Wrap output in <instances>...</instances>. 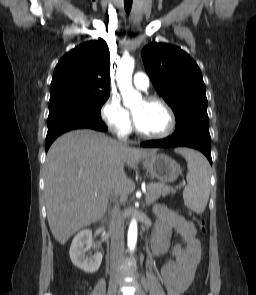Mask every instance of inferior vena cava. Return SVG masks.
Segmentation results:
<instances>
[{"label":"inferior vena cava","instance_id":"obj_1","mask_svg":"<svg viewBox=\"0 0 256 295\" xmlns=\"http://www.w3.org/2000/svg\"><path fill=\"white\" fill-rule=\"evenodd\" d=\"M122 195L121 189L114 186L111 191V201L114 203L111 210V273L121 270V261L124 253V227L121 221V209L118 198Z\"/></svg>","mask_w":256,"mask_h":295}]
</instances>
